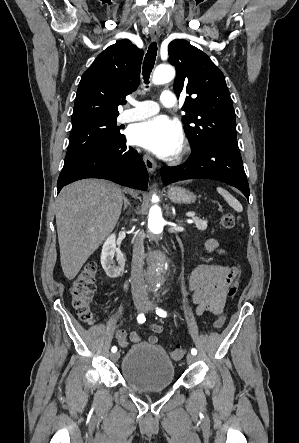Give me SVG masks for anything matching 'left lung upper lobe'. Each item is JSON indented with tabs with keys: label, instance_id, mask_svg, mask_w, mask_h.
I'll list each match as a JSON object with an SVG mask.
<instances>
[{
	"label": "left lung upper lobe",
	"instance_id": "obj_1",
	"mask_svg": "<svg viewBox=\"0 0 299 443\" xmlns=\"http://www.w3.org/2000/svg\"><path fill=\"white\" fill-rule=\"evenodd\" d=\"M169 62L176 67L174 91H185L184 130L196 149L218 142L238 148L235 112L225 78L201 50L181 39L168 46Z\"/></svg>",
	"mask_w": 299,
	"mask_h": 443
}]
</instances>
